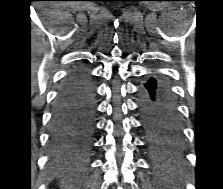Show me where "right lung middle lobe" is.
<instances>
[{
	"mask_svg": "<svg viewBox=\"0 0 223 189\" xmlns=\"http://www.w3.org/2000/svg\"><path fill=\"white\" fill-rule=\"evenodd\" d=\"M60 155H64V154H67V153H59Z\"/></svg>",
	"mask_w": 223,
	"mask_h": 189,
	"instance_id": "dd1d6c3e",
	"label": "right lung middle lobe"
}]
</instances>
